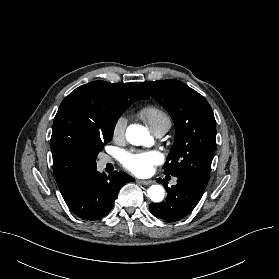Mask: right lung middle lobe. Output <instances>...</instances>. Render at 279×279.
<instances>
[{
    "mask_svg": "<svg viewBox=\"0 0 279 279\" xmlns=\"http://www.w3.org/2000/svg\"><path fill=\"white\" fill-rule=\"evenodd\" d=\"M130 105V102H116L112 105L110 110V124L108 128L102 134L93 136L86 145L88 167L96 166V157L98 153L102 151L104 145L112 139L114 127L118 118Z\"/></svg>",
    "mask_w": 279,
    "mask_h": 279,
    "instance_id": "obj_1",
    "label": "right lung middle lobe"
}]
</instances>
